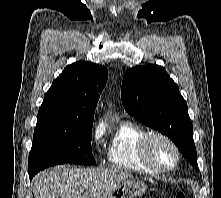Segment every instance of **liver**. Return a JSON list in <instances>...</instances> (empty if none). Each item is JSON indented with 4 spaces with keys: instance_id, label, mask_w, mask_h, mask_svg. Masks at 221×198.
I'll return each instance as SVG.
<instances>
[{
    "instance_id": "1",
    "label": "liver",
    "mask_w": 221,
    "mask_h": 198,
    "mask_svg": "<svg viewBox=\"0 0 221 198\" xmlns=\"http://www.w3.org/2000/svg\"><path fill=\"white\" fill-rule=\"evenodd\" d=\"M132 178V174L120 169L60 165L40 172L35 178L33 192L35 198H105L122 182Z\"/></svg>"
}]
</instances>
